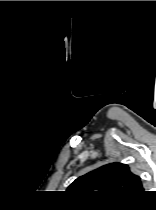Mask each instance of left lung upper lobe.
I'll list each match as a JSON object with an SVG mask.
<instances>
[{"label": "left lung upper lobe", "instance_id": "left-lung-upper-lobe-1", "mask_svg": "<svg viewBox=\"0 0 156 210\" xmlns=\"http://www.w3.org/2000/svg\"><path fill=\"white\" fill-rule=\"evenodd\" d=\"M68 190L130 196L142 193L144 188L140 177L133 174L128 165L111 163L77 178Z\"/></svg>", "mask_w": 156, "mask_h": 210}]
</instances>
